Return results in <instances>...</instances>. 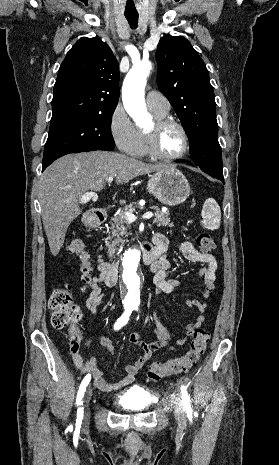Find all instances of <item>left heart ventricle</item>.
Masks as SVG:
<instances>
[{"label":"left heart ventricle","instance_id":"1","mask_svg":"<svg viewBox=\"0 0 279 465\" xmlns=\"http://www.w3.org/2000/svg\"><path fill=\"white\" fill-rule=\"evenodd\" d=\"M183 146V139L180 130L173 125L164 128L158 139V147L164 154H176Z\"/></svg>","mask_w":279,"mask_h":465}]
</instances>
